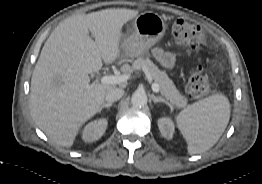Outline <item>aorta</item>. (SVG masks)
Masks as SVG:
<instances>
[{
	"label": "aorta",
	"instance_id": "1",
	"mask_svg": "<svg viewBox=\"0 0 262 184\" xmlns=\"http://www.w3.org/2000/svg\"><path fill=\"white\" fill-rule=\"evenodd\" d=\"M147 95L144 91H135L131 97V103L134 107H144L147 104Z\"/></svg>",
	"mask_w": 262,
	"mask_h": 184
}]
</instances>
